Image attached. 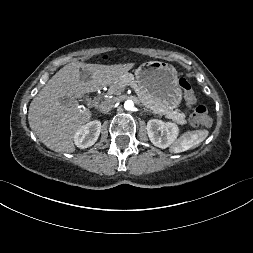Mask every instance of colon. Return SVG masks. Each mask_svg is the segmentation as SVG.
Here are the masks:
<instances>
[{"mask_svg": "<svg viewBox=\"0 0 253 253\" xmlns=\"http://www.w3.org/2000/svg\"><path fill=\"white\" fill-rule=\"evenodd\" d=\"M179 87L184 98L190 103H195L196 97L190 82L185 78H181L179 80ZM191 123L194 126H208L211 123V116L206 106L199 105L194 109L191 116Z\"/></svg>", "mask_w": 253, "mask_h": 253, "instance_id": "1", "label": "colon"}]
</instances>
